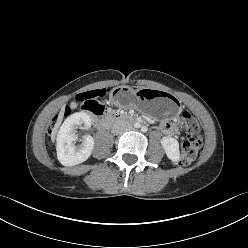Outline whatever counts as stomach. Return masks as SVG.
Masks as SVG:
<instances>
[{"label": "stomach", "instance_id": "1", "mask_svg": "<svg viewBox=\"0 0 248 248\" xmlns=\"http://www.w3.org/2000/svg\"><path fill=\"white\" fill-rule=\"evenodd\" d=\"M116 104L120 107L135 105L137 110L153 119H164L176 116L180 111L179 100L170 93L160 90H133L128 86L114 89Z\"/></svg>", "mask_w": 248, "mask_h": 248}]
</instances>
